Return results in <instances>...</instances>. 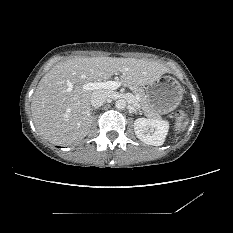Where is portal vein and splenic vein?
<instances>
[{"instance_id": "obj_1", "label": "portal vein and splenic vein", "mask_w": 233, "mask_h": 233, "mask_svg": "<svg viewBox=\"0 0 233 233\" xmlns=\"http://www.w3.org/2000/svg\"><path fill=\"white\" fill-rule=\"evenodd\" d=\"M121 86V82L118 81H106V82H89L84 84L85 90H97V89H111L115 90ZM136 103L139 100L138 95H135Z\"/></svg>"}]
</instances>
